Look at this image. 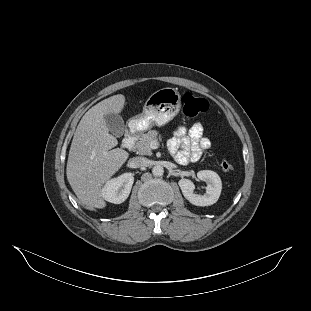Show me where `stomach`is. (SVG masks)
<instances>
[{"label":"stomach","instance_id":"1","mask_svg":"<svg viewBox=\"0 0 311 311\" xmlns=\"http://www.w3.org/2000/svg\"><path fill=\"white\" fill-rule=\"evenodd\" d=\"M181 109V95L171 87L161 88L152 93L140 114L130 117L126 122L129 134L141 135L153 127H162L172 121Z\"/></svg>","mask_w":311,"mask_h":311}]
</instances>
